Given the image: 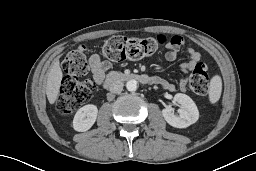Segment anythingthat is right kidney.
Wrapping results in <instances>:
<instances>
[{
	"label": "right kidney",
	"instance_id": "obj_1",
	"mask_svg": "<svg viewBox=\"0 0 256 171\" xmlns=\"http://www.w3.org/2000/svg\"><path fill=\"white\" fill-rule=\"evenodd\" d=\"M98 109L93 104L81 107L75 114L73 119V128L78 132L89 130L96 121Z\"/></svg>",
	"mask_w": 256,
	"mask_h": 171
}]
</instances>
